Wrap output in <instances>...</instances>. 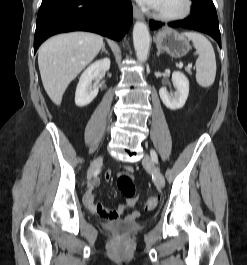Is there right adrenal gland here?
<instances>
[{"mask_svg":"<svg viewBox=\"0 0 247 265\" xmlns=\"http://www.w3.org/2000/svg\"><path fill=\"white\" fill-rule=\"evenodd\" d=\"M103 52H105L106 54H108V51L105 48V44L103 45L102 50H101V53H103Z\"/></svg>","mask_w":247,"mask_h":265,"instance_id":"1","label":"right adrenal gland"}]
</instances>
